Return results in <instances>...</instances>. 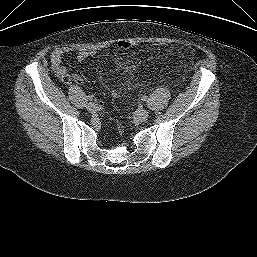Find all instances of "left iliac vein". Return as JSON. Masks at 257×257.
<instances>
[{
	"label": "left iliac vein",
	"mask_w": 257,
	"mask_h": 257,
	"mask_svg": "<svg viewBox=\"0 0 257 257\" xmlns=\"http://www.w3.org/2000/svg\"><path fill=\"white\" fill-rule=\"evenodd\" d=\"M135 117L138 121L143 122L149 117V112L146 109H139L136 112Z\"/></svg>",
	"instance_id": "left-iliac-vein-1"
}]
</instances>
